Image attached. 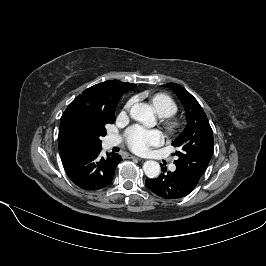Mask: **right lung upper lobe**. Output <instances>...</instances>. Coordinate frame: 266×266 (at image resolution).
<instances>
[{
  "label": "right lung upper lobe",
  "mask_w": 266,
  "mask_h": 266,
  "mask_svg": "<svg viewBox=\"0 0 266 266\" xmlns=\"http://www.w3.org/2000/svg\"><path fill=\"white\" fill-rule=\"evenodd\" d=\"M136 87V84L118 80L96 84L78 95L67 107L61 117L58 147L61 160L89 149L79 135L76 122L84 113L111 114L115 112L121 96Z\"/></svg>",
  "instance_id": "right-lung-upper-lobe-1"
}]
</instances>
